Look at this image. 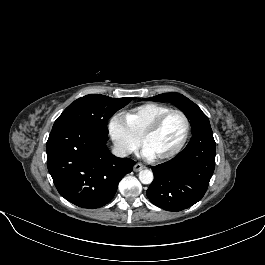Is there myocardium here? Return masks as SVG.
<instances>
[{"mask_svg": "<svg viewBox=\"0 0 265 265\" xmlns=\"http://www.w3.org/2000/svg\"><path fill=\"white\" fill-rule=\"evenodd\" d=\"M172 114H179L183 117L184 121H185V133L184 136L181 140V142L171 151H168L166 153H162V154H158V155H153L152 158L155 160H166L169 158H172L174 156H176L177 154H179L182 149L185 147L189 136H190V131H191V123L189 120V117L187 116V114L185 112H183L182 110L179 109H169L168 111L162 113L161 115H159L146 129L145 131L142 133L141 135V143L142 145L145 147L146 141L147 139L153 135L154 133H156L158 131V129L160 128V126L162 125V123L164 122V120L172 115Z\"/></svg>", "mask_w": 265, "mask_h": 265, "instance_id": "obj_1", "label": "myocardium"}]
</instances>
